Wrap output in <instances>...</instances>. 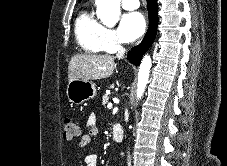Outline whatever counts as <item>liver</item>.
Wrapping results in <instances>:
<instances>
[{
  "label": "liver",
  "mask_w": 227,
  "mask_h": 166,
  "mask_svg": "<svg viewBox=\"0 0 227 166\" xmlns=\"http://www.w3.org/2000/svg\"><path fill=\"white\" fill-rule=\"evenodd\" d=\"M114 57L111 55L77 54L68 65V81H84L108 78L114 71Z\"/></svg>",
  "instance_id": "6515ba94"
}]
</instances>
